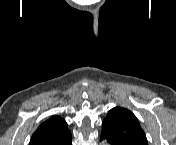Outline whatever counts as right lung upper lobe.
I'll use <instances>...</instances> for the list:
<instances>
[{
    "label": "right lung upper lobe",
    "instance_id": "1",
    "mask_svg": "<svg viewBox=\"0 0 176 145\" xmlns=\"http://www.w3.org/2000/svg\"><path fill=\"white\" fill-rule=\"evenodd\" d=\"M67 123L60 116H52L33 134L30 145H72Z\"/></svg>",
    "mask_w": 176,
    "mask_h": 145
}]
</instances>
